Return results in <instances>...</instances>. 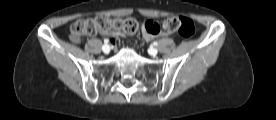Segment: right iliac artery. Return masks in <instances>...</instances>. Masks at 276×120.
Masks as SVG:
<instances>
[{"label": "right iliac artery", "instance_id": "right-iliac-artery-1", "mask_svg": "<svg viewBox=\"0 0 276 120\" xmlns=\"http://www.w3.org/2000/svg\"><path fill=\"white\" fill-rule=\"evenodd\" d=\"M104 43H105V44H108V43H109V40H108V39H104Z\"/></svg>", "mask_w": 276, "mask_h": 120}]
</instances>
